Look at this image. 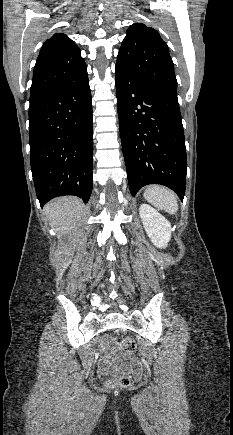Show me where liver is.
I'll return each mask as SVG.
<instances>
[{"label":"liver","mask_w":233,"mask_h":435,"mask_svg":"<svg viewBox=\"0 0 233 435\" xmlns=\"http://www.w3.org/2000/svg\"><path fill=\"white\" fill-rule=\"evenodd\" d=\"M82 212L83 203L74 196L56 198L45 206V213L51 227L62 235L74 229Z\"/></svg>","instance_id":"obj_1"}]
</instances>
